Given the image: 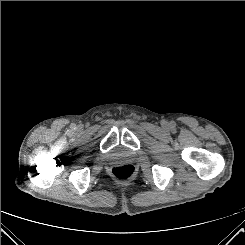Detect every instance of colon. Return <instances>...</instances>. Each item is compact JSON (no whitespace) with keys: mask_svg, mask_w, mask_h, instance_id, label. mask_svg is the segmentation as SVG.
<instances>
[{"mask_svg":"<svg viewBox=\"0 0 245 245\" xmlns=\"http://www.w3.org/2000/svg\"><path fill=\"white\" fill-rule=\"evenodd\" d=\"M111 173L119 181H128L133 177L135 169L133 165L125 163L113 167Z\"/></svg>","mask_w":245,"mask_h":245,"instance_id":"colon-1","label":"colon"}]
</instances>
